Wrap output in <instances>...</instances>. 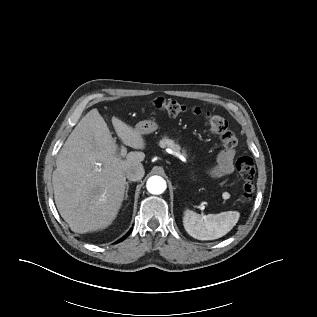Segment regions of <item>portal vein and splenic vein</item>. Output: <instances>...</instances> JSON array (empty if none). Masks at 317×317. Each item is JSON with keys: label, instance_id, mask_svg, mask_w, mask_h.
I'll return each mask as SVG.
<instances>
[{"label": "portal vein and splenic vein", "instance_id": "1", "mask_svg": "<svg viewBox=\"0 0 317 317\" xmlns=\"http://www.w3.org/2000/svg\"><path fill=\"white\" fill-rule=\"evenodd\" d=\"M126 154H127V149H126V147L122 146L121 147L120 156L124 157Z\"/></svg>", "mask_w": 317, "mask_h": 317}]
</instances>
